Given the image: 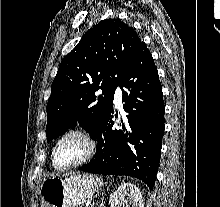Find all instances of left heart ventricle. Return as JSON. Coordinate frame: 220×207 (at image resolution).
I'll use <instances>...</instances> for the list:
<instances>
[{"label": "left heart ventricle", "mask_w": 220, "mask_h": 207, "mask_svg": "<svg viewBox=\"0 0 220 207\" xmlns=\"http://www.w3.org/2000/svg\"><path fill=\"white\" fill-rule=\"evenodd\" d=\"M87 146L86 143L77 136H70L64 139L56 150V162L58 165H67L81 159Z\"/></svg>", "instance_id": "obj_1"}]
</instances>
